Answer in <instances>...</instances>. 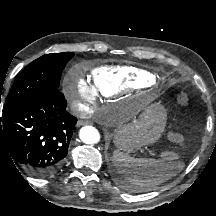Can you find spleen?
I'll use <instances>...</instances> for the list:
<instances>
[{
    "mask_svg": "<svg viewBox=\"0 0 216 216\" xmlns=\"http://www.w3.org/2000/svg\"><path fill=\"white\" fill-rule=\"evenodd\" d=\"M112 160L118 172L139 189H150L177 174L170 163L152 158H134L119 150L114 151Z\"/></svg>",
    "mask_w": 216,
    "mask_h": 216,
    "instance_id": "3e777b00",
    "label": "spleen"
}]
</instances>
